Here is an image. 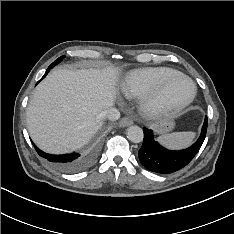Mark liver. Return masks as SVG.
Segmentation results:
<instances>
[{"instance_id": "obj_1", "label": "liver", "mask_w": 234, "mask_h": 234, "mask_svg": "<svg viewBox=\"0 0 234 234\" xmlns=\"http://www.w3.org/2000/svg\"><path fill=\"white\" fill-rule=\"evenodd\" d=\"M119 68L52 71L34 90L26 111L29 134L43 151L60 154L85 145L103 125L116 97Z\"/></svg>"}]
</instances>
